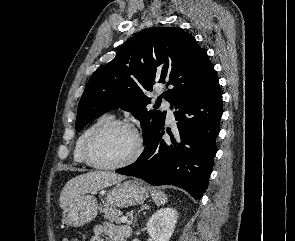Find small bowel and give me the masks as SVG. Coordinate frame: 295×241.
<instances>
[{
    "label": "small bowel",
    "mask_w": 295,
    "mask_h": 241,
    "mask_svg": "<svg viewBox=\"0 0 295 241\" xmlns=\"http://www.w3.org/2000/svg\"><path fill=\"white\" fill-rule=\"evenodd\" d=\"M130 236V229L127 226H117L112 223H103L96 225L93 229V235L88 241H103L107 238L109 241H127ZM68 240V239H63Z\"/></svg>",
    "instance_id": "1"
}]
</instances>
